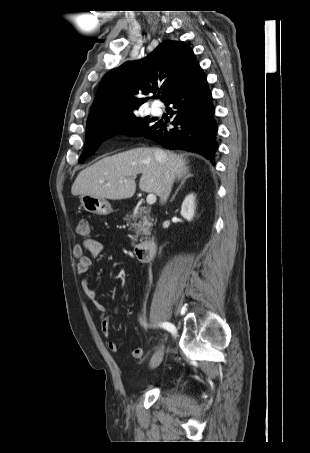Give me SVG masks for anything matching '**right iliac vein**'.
I'll use <instances>...</instances> for the list:
<instances>
[{"mask_svg":"<svg viewBox=\"0 0 310 453\" xmlns=\"http://www.w3.org/2000/svg\"><path fill=\"white\" fill-rule=\"evenodd\" d=\"M163 359V348H159L150 361V368L154 369L160 365Z\"/></svg>","mask_w":310,"mask_h":453,"instance_id":"obj_1","label":"right iliac vein"}]
</instances>
